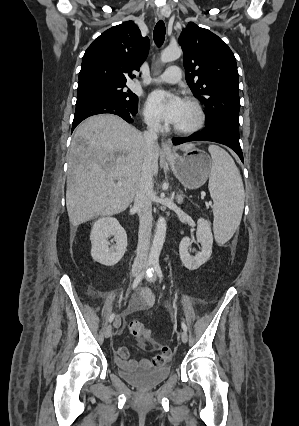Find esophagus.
Returning a JSON list of instances; mask_svg holds the SVG:
<instances>
[{"mask_svg":"<svg viewBox=\"0 0 299 426\" xmlns=\"http://www.w3.org/2000/svg\"><path fill=\"white\" fill-rule=\"evenodd\" d=\"M157 15L160 19L164 18V13H163L162 10L158 11ZM162 152L165 155H172L173 154V149H172V145H171L170 140H165V141L162 142Z\"/></svg>","mask_w":299,"mask_h":426,"instance_id":"34e87169","label":"esophagus"}]
</instances>
